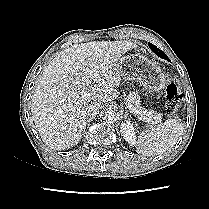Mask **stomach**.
<instances>
[{"mask_svg":"<svg viewBox=\"0 0 209 209\" xmlns=\"http://www.w3.org/2000/svg\"><path fill=\"white\" fill-rule=\"evenodd\" d=\"M119 73L126 80H137L145 88L159 91L165 88L167 77L161 68L140 54L124 56L119 62Z\"/></svg>","mask_w":209,"mask_h":209,"instance_id":"0dacf381","label":"stomach"}]
</instances>
